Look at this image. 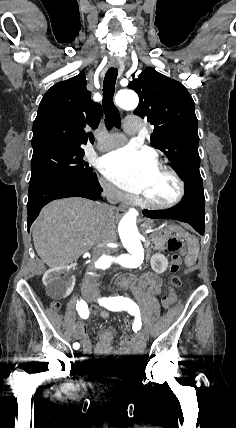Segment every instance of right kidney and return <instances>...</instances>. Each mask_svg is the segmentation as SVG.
<instances>
[{
    "label": "right kidney",
    "mask_w": 236,
    "mask_h": 428,
    "mask_svg": "<svg viewBox=\"0 0 236 428\" xmlns=\"http://www.w3.org/2000/svg\"><path fill=\"white\" fill-rule=\"evenodd\" d=\"M66 270L63 268L48 269L43 276V284L47 292H50L48 298L50 301H63L65 296L71 294L75 286V276L66 282Z\"/></svg>",
    "instance_id": "obj_1"
}]
</instances>
